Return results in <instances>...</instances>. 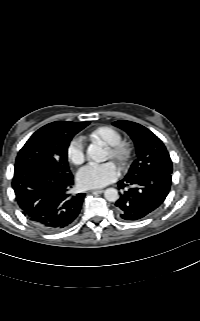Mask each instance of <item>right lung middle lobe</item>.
Here are the masks:
<instances>
[{
  "instance_id": "dd1d6c3e",
  "label": "right lung middle lobe",
  "mask_w": 200,
  "mask_h": 321,
  "mask_svg": "<svg viewBox=\"0 0 200 321\" xmlns=\"http://www.w3.org/2000/svg\"><path fill=\"white\" fill-rule=\"evenodd\" d=\"M89 122L74 124L68 130L56 131L49 124L37 130L19 151L15 167L28 162H43L58 172L70 173L67 150L72 137Z\"/></svg>"
}]
</instances>
